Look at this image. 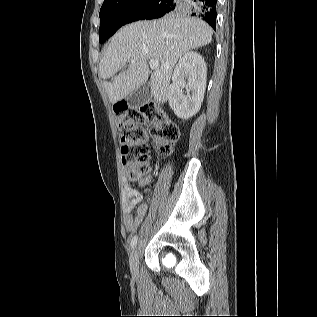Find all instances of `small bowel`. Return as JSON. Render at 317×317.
Segmentation results:
<instances>
[{
    "instance_id": "c3829d8e",
    "label": "small bowel",
    "mask_w": 317,
    "mask_h": 317,
    "mask_svg": "<svg viewBox=\"0 0 317 317\" xmlns=\"http://www.w3.org/2000/svg\"><path fill=\"white\" fill-rule=\"evenodd\" d=\"M150 181V177L146 176L142 179L139 180V184L141 186H145L149 183ZM127 196L129 198V201L127 203L126 206V213H125V219H124V224H125V228L130 231L133 232L136 230V228L141 224V222L144 219V216L149 208V202H146L144 204H141L142 201V195L140 192H138L135 189H128L127 190ZM137 214L134 216L132 214V211L137 207Z\"/></svg>"
}]
</instances>
